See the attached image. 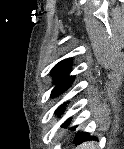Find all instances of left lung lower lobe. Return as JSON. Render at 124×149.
I'll return each instance as SVG.
<instances>
[{
	"mask_svg": "<svg viewBox=\"0 0 124 149\" xmlns=\"http://www.w3.org/2000/svg\"><path fill=\"white\" fill-rule=\"evenodd\" d=\"M89 140H97V137L95 136H91L89 133L87 132H79L77 131L75 139H74V143L79 145L85 141H89Z\"/></svg>",
	"mask_w": 124,
	"mask_h": 149,
	"instance_id": "1",
	"label": "left lung lower lobe"
}]
</instances>
